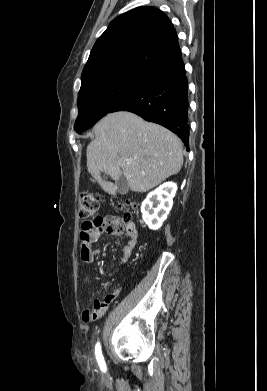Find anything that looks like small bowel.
Returning <instances> with one entry per match:
<instances>
[{
    "label": "small bowel",
    "mask_w": 267,
    "mask_h": 391,
    "mask_svg": "<svg viewBox=\"0 0 267 391\" xmlns=\"http://www.w3.org/2000/svg\"><path fill=\"white\" fill-rule=\"evenodd\" d=\"M124 231L127 236L126 243L121 246L123 256L120 260V264L126 263L130 258L133 249L135 248L138 240V231L133 222H127L125 224H120L117 219L113 216H104L100 217L98 222L87 221L82 224V232L80 238L87 239V248L83 249L81 247V258L85 262H91L94 258L92 246L94 242L103 234L110 233L116 234ZM113 274L103 273L101 275V280L112 277ZM119 293V289H115L112 292L106 294L103 299H96L94 305L90 309H86L82 313V319L84 322H90L99 318L104 311L106 310L108 304L113 298H115Z\"/></svg>",
    "instance_id": "1"
}]
</instances>
